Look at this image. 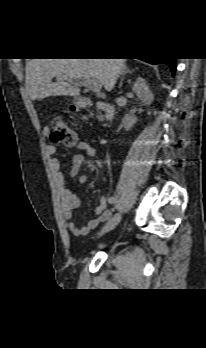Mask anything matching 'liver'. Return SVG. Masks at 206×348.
<instances>
[{"label":"liver","mask_w":206,"mask_h":348,"mask_svg":"<svg viewBox=\"0 0 206 348\" xmlns=\"http://www.w3.org/2000/svg\"><path fill=\"white\" fill-rule=\"evenodd\" d=\"M126 59H30L25 87L32 100L48 96H78L75 80L95 79L111 91L122 74ZM56 82H52L53 78Z\"/></svg>","instance_id":"liver-1"}]
</instances>
